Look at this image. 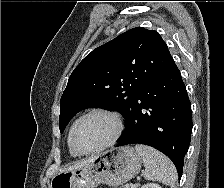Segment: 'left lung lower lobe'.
<instances>
[{"label": "left lung lower lobe", "instance_id": "0a47b994", "mask_svg": "<svg viewBox=\"0 0 224 188\" xmlns=\"http://www.w3.org/2000/svg\"><path fill=\"white\" fill-rule=\"evenodd\" d=\"M191 132V104L173 61L142 87L116 147L134 143L154 147L172 160L181 177Z\"/></svg>", "mask_w": 224, "mask_h": 188}]
</instances>
